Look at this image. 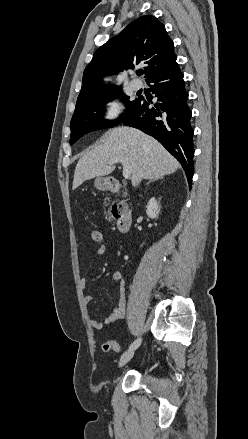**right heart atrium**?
<instances>
[{"instance_id":"obj_1","label":"right heart atrium","mask_w":248,"mask_h":439,"mask_svg":"<svg viewBox=\"0 0 248 439\" xmlns=\"http://www.w3.org/2000/svg\"><path fill=\"white\" fill-rule=\"evenodd\" d=\"M123 115V106L118 99H109L99 111L100 119L107 124L117 122Z\"/></svg>"}]
</instances>
